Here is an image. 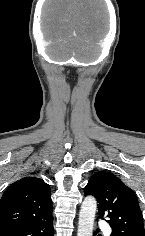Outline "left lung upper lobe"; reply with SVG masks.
<instances>
[{"label":"left lung upper lobe","instance_id":"left-lung-upper-lobe-1","mask_svg":"<svg viewBox=\"0 0 145 236\" xmlns=\"http://www.w3.org/2000/svg\"><path fill=\"white\" fill-rule=\"evenodd\" d=\"M98 201L99 217L108 218L111 236H144L142 212L134 191L113 173H95L85 187V196Z\"/></svg>","mask_w":145,"mask_h":236}]
</instances>
